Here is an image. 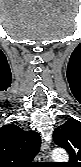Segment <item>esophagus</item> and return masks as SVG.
<instances>
[{"mask_svg":"<svg viewBox=\"0 0 81 167\" xmlns=\"http://www.w3.org/2000/svg\"><path fill=\"white\" fill-rule=\"evenodd\" d=\"M42 151H43V153H42L43 159L45 161H48L49 160V153H48V150L46 148V144L45 143L42 144Z\"/></svg>","mask_w":81,"mask_h":167,"instance_id":"esophagus-1","label":"esophagus"}]
</instances>
